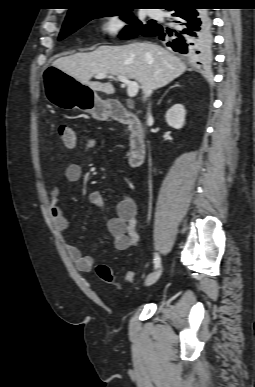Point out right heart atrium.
<instances>
[{
	"instance_id": "obj_1",
	"label": "right heart atrium",
	"mask_w": 255,
	"mask_h": 387,
	"mask_svg": "<svg viewBox=\"0 0 255 387\" xmlns=\"http://www.w3.org/2000/svg\"><path fill=\"white\" fill-rule=\"evenodd\" d=\"M129 26V21L123 13H116L106 17L102 25V33L107 36L123 34Z\"/></svg>"
}]
</instances>
